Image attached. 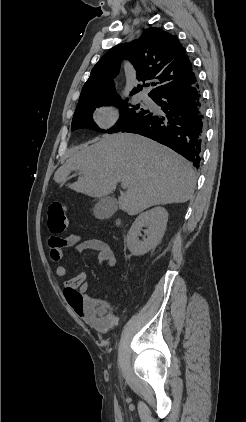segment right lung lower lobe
<instances>
[{"instance_id":"right-lung-lower-lobe-1","label":"right lung lower lobe","mask_w":246,"mask_h":422,"mask_svg":"<svg viewBox=\"0 0 246 422\" xmlns=\"http://www.w3.org/2000/svg\"><path fill=\"white\" fill-rule=\"evenodd\" d=\"M153 101L163 111L123 129L172 148L199 168L205 138V117L198 82L177 86Z\"/></svg>"}]
</instances>
